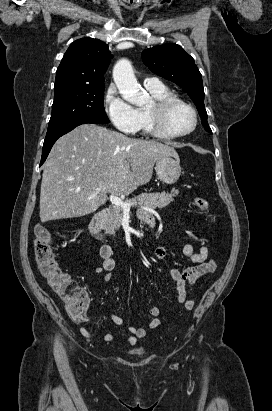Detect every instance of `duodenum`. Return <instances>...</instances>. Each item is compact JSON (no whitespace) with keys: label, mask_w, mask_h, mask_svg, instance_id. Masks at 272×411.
I'll return each mask as SVG.
<instances>
[{"label":"duodenum","mask_w":272,"mask_h":411,"mask_svg":"<svg viewBox=\"0 0 272 411\" xmlns=\"http://www.w3.org/2000/svg\"><path fill=\"white\" fill-rule=\"evenodd\" d=\"M110 215V209L105 208L100 210L91 220L89 224V229L91 234L99 241H101L103 244L107 245V236L104 232V223L106 219ZM151 222L154 221V219L151 217L149 218Z\"/></svg>","instance_id":"obj_1"}]
</instances>
